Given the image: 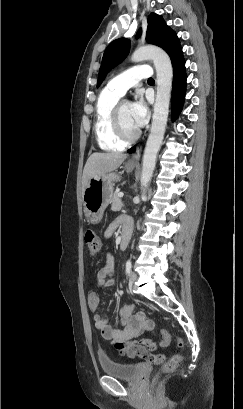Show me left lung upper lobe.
<instances>
[{
	"instance_id": "1",
	"label": "left lung upper lobe",
	"mask_w": 243,
	"mask_h": 409,
	"mask_svg": "<svg viewBox=\"0 0 243 409\" xmlns=\"http://www.w3.org/2000/svg\"><path fill=\"white\" fill-rule=\"evenodd\" d=\"M141 34L139 30L137 36ZM147 43L163 48L172 57L180 48L177 35L163 21L162 16L151 13L148 17V27L146 33ZM130 50V40L120 38L112 41L106 48L98 75L97 87L100 86L107 73L118 65L128 55Z\"/></svg>"
}]
</instances>
